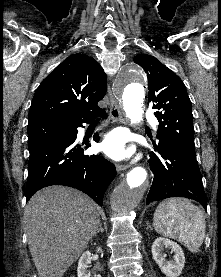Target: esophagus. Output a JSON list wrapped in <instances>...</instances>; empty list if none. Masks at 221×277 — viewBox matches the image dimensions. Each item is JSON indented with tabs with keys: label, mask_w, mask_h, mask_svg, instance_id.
Segmentation results:
<instances>
[{
	"label": "esophagus",
	"mask_w": 221,
	"mask_h": 277,
	"mask_svg": "<svg viewBox=\"0 0 221 277\" xmlns=\"http://www.w3.org/2000/svg\"><path fill=\"white\" fill-rule=\"evenodd\" d=\"M108 95L110 99V115L115 122L126 123L124 113L122 111L121 105L118 103V100L114 97L110 86H108ZM129 166L123 164H117V171L126 170Z\"/></svg>",
	"instance_id": "1"
}]
</instances>
